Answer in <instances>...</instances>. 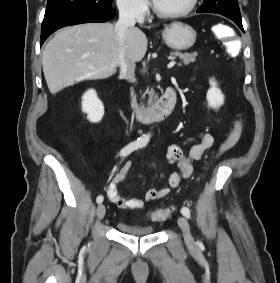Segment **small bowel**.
<instances>
[{
  "instance_id": "small-bowel-1",
  "label": "small bowel",
  "mask_w": 280,
  "mask_h": 283,
  "mask_svg": "<svg viewBox=\"0 0 280 283\" xmlns=\"http://www.w3.org/2000/svg\"><path fill=\"white\" fill-rule=\"evenodd\" d=\"M238 125L239 122H236L234 124V128L231 131L228 139L232 136L234 130ZM213 144V136L209 133H203L200 136V142L194 144L188 154H185L182 148L178 145H169L166 152V158L169 163L178 166L179 172L172 173L170 175L168 180L169 188L165 187L159 189H150L142 198H124L118 191V186L123 182L131 169V163L129 161L125 162L121 169L107 184L106 193L109 200L121 209H143L146 202L158 200L165 197L169 194L170 188H176L182 180L190 178L193 173V163L201 160L204 153L209 150L213 146Z\"/></svg>"
}]
</instances>
